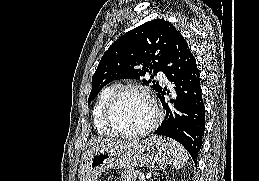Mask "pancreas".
<instances>
[{"label":"pancreas","mask_w":259,"mask_h":181,"mask_svg":"<svg viewBox=\"0 0 259 181\" xmlns=\"http://www.w3.org/2000/svg\"><path fill=\"white\" fill-rule=\"evenodd\" d=\"M123 181H136L139 171L138 170H125L119 173Z\"/></svg>","instance_id":"cf45deb5"}]
</instances>
